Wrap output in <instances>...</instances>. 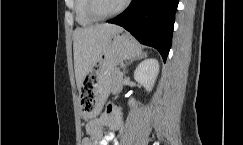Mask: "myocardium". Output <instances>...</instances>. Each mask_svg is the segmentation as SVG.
Listing matches in <instances>:
<instances>
[{"label":"myocardium","mask_w":243,"mask_h":145,"mask_svg":"<svg viewBox=\"0 0 243 145\" xmlns=\"http://www.w3.org/2000/svg\"><path fill=\"white\" fill-rule=\"evenodd\" d=\"M131 0H124V2L122 3V5L115 11L108 13V14H104L101 13L98 9V0H88V4H87V11L89 13V15L97 20V21H101V20H107L110 19L112 17H115L119 14H121L130 4Z\"/></svg>","instance_id":"f54148a6"}]
</instances>
